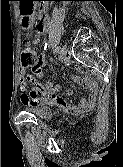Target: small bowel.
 I'll return each mask as SVG.
<instances>
[{
	"mask_svg": "<svg viewBox=\"0 0 123 167\" xmlns=\"http://www.w3.org/2000/svg\"><path fill=\"white\" fill-rule=\"evenodd\" d=\"M18 5L22 13L21 19H30L31 13H33L34 1H18ZM42 20L44 21V16ZM20 24H29V20H20ZM42 31L43 28L41 30H38V34H41ZM44 65L45 58L44 56H42L39 60V66L35 69H32V74L26 75L24 69L20 70V99L22 103L26 105H58L62 107H68L72 110L80 112L88 111L96 104L98 85L89 75H86L83 78H80L76 75L71 76L73 82L89 90V97L81 99L78 104H73L71 102L65 101L60 96V86L51 83H38L35 85L33 90L28 93L26 85L27 79L33 80L34 75L41 76ZM68 94H71V92H68Z\"/></svg>",
	"mask_w": 123,
	"mask_h": 167,
	"instance_id": "c3829d8e",
	"label": "small bowel"
}]
</instances>
